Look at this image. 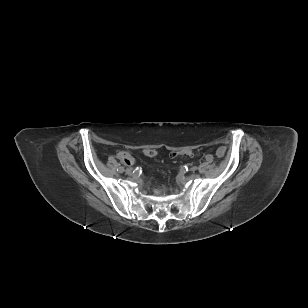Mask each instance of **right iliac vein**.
I'll return each instance as SVG.
<instances>
[{
    "mask_svg": "<svg viewBox=\"0 0 308 308\" xmlns=\"http://www.w3.org/2000/svg\"><path fill=\"white\" fill-rule=\"evenodd\" d=\"M125 172H126L127 174H131V173H132V169H126Z\"/></svg>",
    "mask_w": 308,
    "mask_h": 308,
    "instance_id": "right-iliac-vein-1",
    "label": "right iliac vein"
}]
</instances>
